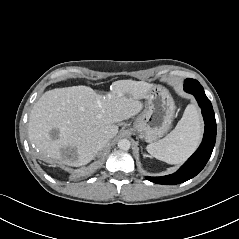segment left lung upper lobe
Here are the masks:
<instances>
[{"mask_svg": "<svg viewBox=\"0 0 239 239\" xmlns=\"http://www.w3.org/2000/svg\"><path fill=\"white\" fill-rule=\"evenodd\" d=\"M185 82H186V83H191V82H192V83H196V82H198V81L189 78V79L185 80ZM185 82H184V83H185Z\"/></svg>", "mask_w": 239, "mask_h": 239, "instance_id": "obj_1", "label": "left lung upper lobe"}]
</instances>
